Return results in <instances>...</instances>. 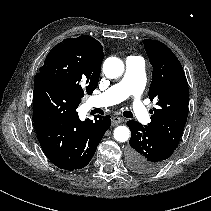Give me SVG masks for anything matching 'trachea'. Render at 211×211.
Returning a JSON list of instances; mask_svg holds the SVG:
<instances>
[{
    "instance_id": "obj_1",
    "label": "trachea",
    "mask_w": 211,
    "mask_h": 211,
    "mask_svg": "<svg viewBox=\"0 0 211 211\" xmlns=\"http://www.w3.org/2000/svg\"><path fill=\"white\" fill-rule=\"evenodd\" d=\"M123 116H125L126 118H133V114L131 111H124Z\"/></svg>"
}]
</instances>
